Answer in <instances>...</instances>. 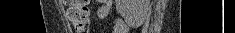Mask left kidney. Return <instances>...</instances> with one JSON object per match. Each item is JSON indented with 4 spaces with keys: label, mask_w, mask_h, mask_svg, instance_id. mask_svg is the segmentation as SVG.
<instances>
[{
    "label": "left kidney",
    "mask_w": 235,
    "mask_h": 33,
    "mask_svg": "<svg viewBox=\"0 0 235 33\" xmlns=\"http://www.w3.org/2000/svg\"><path fill=\"white\" fill-rule=\"evenodd\" d=\"M116 10L128 25H140L147 14L150 0H115Z\"/></svg>",
    "instance_id": "5707ae66"
}]
</instances>
